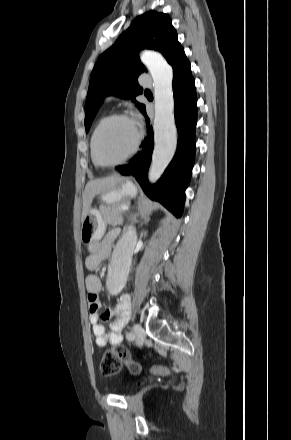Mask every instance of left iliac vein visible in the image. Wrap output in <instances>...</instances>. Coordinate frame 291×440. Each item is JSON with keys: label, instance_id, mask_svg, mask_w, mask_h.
<instances>
[{"label": "left iliac vein", "instance_id": "4c4485c4", "mask_svg": "<svg viewBox=\"0 0 291 440\" xmlns=\"http://www.w3.org/2000/svg\"><path fill=\"white\" fill-rule=\"evenodd\" d=\"M133 332H134V335H135L136 343L138 345H142L144 343V340H145V331H144L143 327L141 325H139V324H135L133 326Z\"/></svg>", "mask_w": 291, "mask_h": 440}]
</instances>
